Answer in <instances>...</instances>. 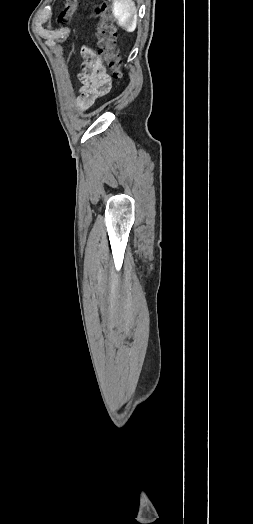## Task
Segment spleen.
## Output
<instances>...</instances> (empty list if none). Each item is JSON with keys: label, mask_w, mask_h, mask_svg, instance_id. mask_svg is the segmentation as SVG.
I'll return each instance as SVG.
<instances>
[{"label": "spleen", "mask_w": 253, "mask_h": 524, "mask_svg": "<svg viewBox=\"0 0 253 524\" xmlns=\"http://www.w3.org/2000/svg\"><path fill=\"white\" fill-rule=\"evenodd\" d=\"M136 9L132 0H114L113 15L117 19L118 25L127 32L136 29L137 18Z\"/></svg>", "instance_id": "3e777b00"}]
</instances>
